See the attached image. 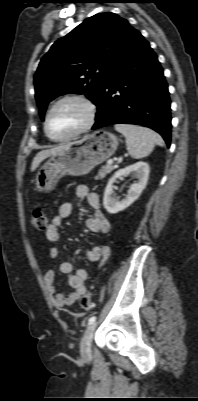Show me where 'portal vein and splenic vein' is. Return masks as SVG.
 Instances as JSON below:
<instances>
[{
    "label": "portal vein and splenic vein",
    "instance_id": "portal-vein-and-splenic-vein-1",
    "mask_svg": "<svg viewBox=\"0 0 198 401\" xmlns=\"http://www.w3.org/2000/svg\"><path fill=\"white\" fill-rule=\"evenodd\" d=\"M107 163H108V164H112V163H113V160H108Z\"/></svg>",
    "mask_w": 198,
    "mask_h": 401
}]
</instances>
